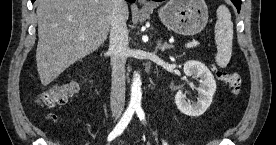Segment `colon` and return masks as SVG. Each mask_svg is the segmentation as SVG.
Segmentation results:
<instances>
[{"label":"colon","mask_w":276,"mask_h":145,"mask_svg":"<svg viewBox=\"0 0 276 145\" xmlns=\"http://www.w3.org/2000/svg\"><path fill=\"white\" fill-rule=\"evenodd\" d=\"M218 79L226 83L234 93H238L241 87V78L236 72H226L218 70L213 66ZM78 88L71 82H66L53 86L37 97V103L43 108H54L62 106L77 92Z\"/></svg>","instance_id":"colon-1"}]
</instances>
